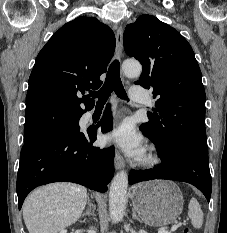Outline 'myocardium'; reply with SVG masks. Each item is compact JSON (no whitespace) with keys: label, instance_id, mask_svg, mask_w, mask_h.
Instances as JSON below:
<instances>
[{"label":"myocardium","instance_id":"f54148a6","mask_svg":"<svg viewBox=\"0 0 227 233\" xmlns=\"http://www.w3.org/2000/svg\"><path fill=\"white\" fill-rule=\"evenodd\" d=\"M160 160L161 159L158 151L154 147H151L141 157L139 162L143 167L150 168L158 165L160 163Z\"/></svg>","mask_w":227,"mask_h":233}]
</instances>
